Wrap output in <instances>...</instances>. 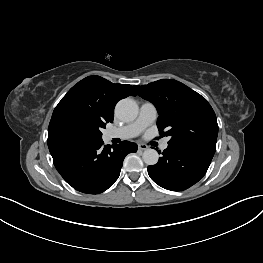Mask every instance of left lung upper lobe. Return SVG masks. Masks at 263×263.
Segmentation results:
<instances>
[{
  "mask_svg": "<svg viewBox=\"0 0 263 263\" xmlns=\"http://www.w3.org/2000/svg\"><path fill=\"white\" fill-rule=\"evenodd\" d=\"M134 88L139 96L155 105L158 129L162 136L171 138L169 145L215 153L218 124L204 97L172 79Z\"/></svg>",
  "mask_w": 263,
  "mask_h": 263,
  "instance_id": "5c2ea615",
  "label": "left lung upper lobe"
}]
</instances>
